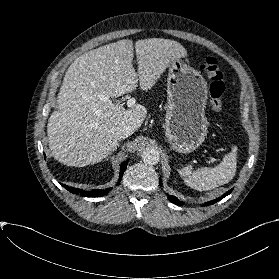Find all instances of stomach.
Masks as SVG:
<instances>
[{"label":"stomach","mask_w":279,"mask_h":279,"mask_svg":"<svg viewBox=\"0 0 279 279\" xmlns=\"http://www.w3.org/2000/svg\"><path fill=\"white\" fill-rule=\"evenodd\" d=\"M168 68L165 136L174 150L190 153L207 135V82L199 71L180 58L172 60Z\"/></svg>","instance_id":"0dacf381"}]
</instances>
